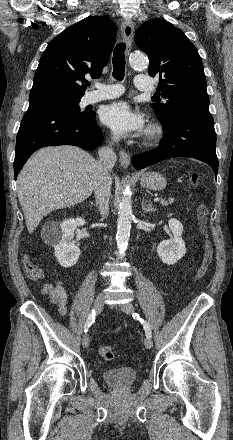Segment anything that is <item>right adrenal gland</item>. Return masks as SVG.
<instances>
[{
    "mask_svg": "<svg viewBox=\"0 0 233 440\" xmlns=\"http://www.w3.org/2000/svg\"><path fill=\"white\" fill-rule=\"evenodd\" d=\"M90 203H91V205L95 206V203H93V202H90Z\"/></svg>",
    "mask_w": 233,
    "mask_h": 440,
    "instance_id": "2a0ac1e0",
    "label": "right adrenal gland"
}]
</instances>
